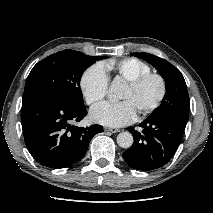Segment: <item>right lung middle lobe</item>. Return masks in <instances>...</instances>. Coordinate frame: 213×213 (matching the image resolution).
<instances>
[{
  "label": "right lung middle lobe",
  "mask_w": 213,
  "mask_h": 213,
  "mask_svg": "<svg viewBox=\"0 0 213 213\" xmlns=\"http://www.w3.org/2000/svg\"><path fill=\"white\" fill-rule=\"evenodd\" d=\"M104 57L63 50L38 62L28 75L25 90L44 89L74 108L84 107L80 80L85 69Z\"/></svg>",
  "instance_id": "obj_1"
}]
</instances>
